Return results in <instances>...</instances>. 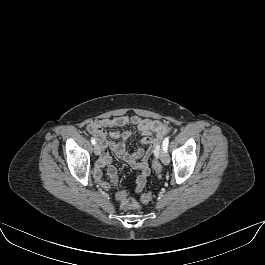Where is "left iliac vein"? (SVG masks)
Returning a JSON list of instances; mask_svg holds the SVG:
<instances>
[{
    "label": "left iliac vein",
    "instance_id": "1",
    "mask_svg": "<svg viewBox=\"0 0 265 265\" xmlns=\"http://www.w3.org/2000/svg\"><path fill=\"white\" fill-rule=\"evenodd\" d=\"M160 159L163 164L167 165L169 163V156L167 154V151L162 150L160 153Z\"/></svg>",
    "mask_w": 265,
    "mask_h": 265
}]
</instances>
